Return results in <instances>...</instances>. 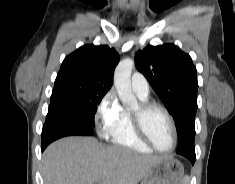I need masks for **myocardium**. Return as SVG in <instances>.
Wrapping results in <instances>:
<instances>
[{"label":"myocardium","instance_id":"obj_1","mask_svg":"<svg viewBox=\"0 0 235 184\" xmlns=\"http://www.w3.org/2000/svg\"><path fill=\"white\" fill-rule=\"evenodd\" d=\"M154 109H159L163 111L169 120L173 133V145L169 151H163L160 150L158 147H156L147 130L145 119L147 114ZM131 116H132L133 127L136 134L150 147L152 151L163 156H168L174 153L178 144V132L175 119L167 107L157 102H141L139 104L138 110L132 112Z\"/></svg>","mask_w":235,"mask_h":184}]
</instances>
